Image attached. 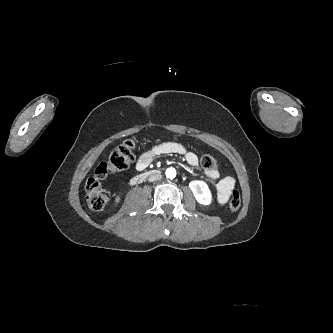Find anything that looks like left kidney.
Returning a JSON list of instances; mask_svg holds the SVG:
<instances>
[{
	"label": "left kidney",
	"instance_id": "obj_1",
	"mask_svg": "<svg viewBox=\"0 0 333 333\" xmlns=\"http://www.w3.org/2000/svg\"><path fill=\"white\" fill-rule=\"evenodd\" d=\"M189 188L192 190L197 202L203 205H209L212 200L211 192L204 181H191Z\"/></svg>",
	"mask_w": 333,
	"mask_h": 333
}]
</instances>
